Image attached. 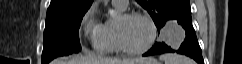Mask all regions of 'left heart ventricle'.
<instances>
[{
	"label": "left heart ventricle",
	"instance_id": "left-heart-ventricle-1",
	"mask_svg": "<svg viewBox=\"0 0 242 64\" xmlns=\"http://www.w3.org/2000/svg\"><path fill=\"white\" fill-rule=\"evenodd\" d=\"M123 41L130 48H141L149 40L151 29L149 24L140 18L118 20Z\"/></svg>",
	"mask_w": 242,
	"mask_h": 64
}]
</instances>
